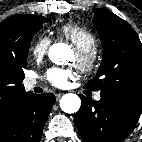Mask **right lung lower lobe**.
<instances>
[{
  "label": "right lung lower lobe",
  "mask_w": 142,
  "mask_h": 142,
  "mask_svg": "<svg viewBox=\"0 0 142 142\" xmlns=\"http://www.w3.org/2000/svg\"><path fill=\"white\" fill-rule=\"evenodd\" d=\"M55 96L26 93L13 110L9 121L0 129V142H39Z\"/></svg>",
  "instance_id": "right-lung-lower-lobe-1"
}]
</instances>
